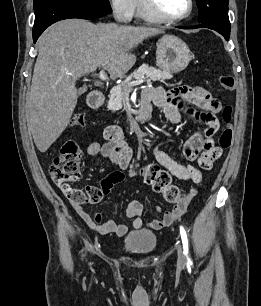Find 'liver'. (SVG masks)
<instances>
[{
	"mask_svg": "<svg viewBox=\"0 0 261 306\" xmlns=\"http://www.w3.org/2000/svg\"><path fill=\"white\" fill-rule=\"evenodd\" d=\"M145 26L97 25L66 19L51 25L38 39L28 100V129L40 152H46L69 124L77 104L75 81L97 68L123 77L135 64L132 53L144 39L162 34Z\"/></svg>",
	"mask_w": 261,
	"mask_h": 306,
	"instance_id": "obj_1",
	"label": "liver"
}]
</instances>
